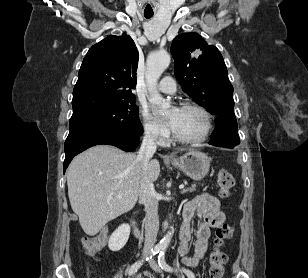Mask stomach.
I'll return each mask as SVG.
<instances>
[{"label":"stomach","mask_w":308,"mask_h":278,"mask_svg":"<svg viewBox=\"0 0 308 278\" xmlns=\"http://www.w3.org/2000/svg\"><path fill=\"white\" fill-rule=\"evenodd\" d=\"M171 164L194 180L204 178L210 168V158L197 150H190L183 156L171 161Z\"/></svg>","instance_id":"0dacf381"}]
</instances>
